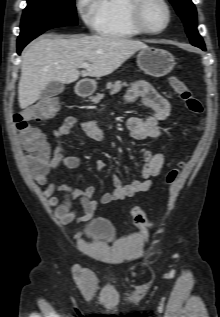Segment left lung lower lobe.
<instances>
[{"mask_svg":"<svg viewBox=\"0 0 220 317\" xmlns=\"http://www.w3.org/2000/svg\"><path fill=\"white\" fill-rule=\"evenodd\" d=\"M196 47H197V46H196ZM199 48H201V49L205 50V46H202V47H199Z\"/></svg>","mask_w":220,"mask_h":317,"instance_id":"obj_1","label":"left lung lower lobe"}]
</instances>
